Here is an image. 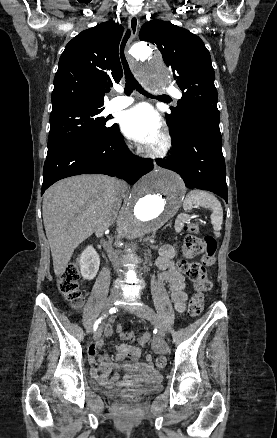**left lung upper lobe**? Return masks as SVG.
I'll return each mask as SVG.
<instances>
[{"mask_svg": "<svg viewBox=\"0 0 277 438\" xmlns=\"http://www.w3.org/2000/svg\"><path fill=\"white\" fill-rule=\"evenodd\" d=\"M139 38L159 48L182 91L177 107H171V112L166 114L174 138H179L185 121L193 112L208 104L217 106L209 51L203 41L187 29L156 19L142 26Z\"/></svg>", "mask_w": 277, "mask_h": 438, "instance_id": "left-lung-upper-lobe-1", "label": "left lung upper lobe"}]
</instances>
